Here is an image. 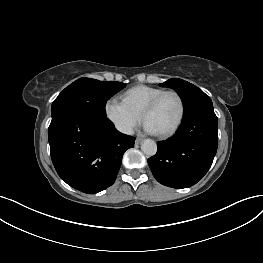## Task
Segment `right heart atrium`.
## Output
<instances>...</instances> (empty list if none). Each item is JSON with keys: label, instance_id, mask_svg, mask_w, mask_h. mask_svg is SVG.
<instances>
[{"label": "right heart atrium", "instance_id": "1", "mask_svg": "<svg viewBox=\"0 0 263 263\" xmlns=\"http://www.w3.org/2000/svg\"><path fill=\"white\" fill-rule=\"evenodd\" d=\"M107 119L120 133L129 135L141 123V116L133 112L123 101L110 98L104 107Z\"/></svg>", "mask_w": 263, "mask_h": 263}]
</instances>
